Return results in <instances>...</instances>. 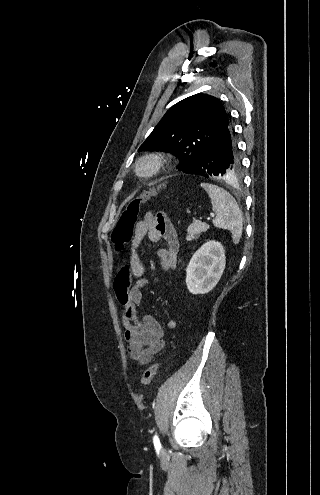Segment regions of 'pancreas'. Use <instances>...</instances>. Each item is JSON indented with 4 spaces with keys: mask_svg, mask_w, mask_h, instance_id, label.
<instances>
[{
    "mask_svg": "<svg viewBox=\"0 0 320 495\" xmlns=\"http://www.w3.org/2000/svg\"><path fill=\"white\" fill-rule=\"evenodd\" d=\"M209 229V225L206 223H202L201 221H193V223L188 227L187 232L188 235L186 239L191 241L193 239H198L201 233L206 232Z\"/></svg>",
    "mask_w": 320,
    "mask_h": 495,
    "instance_id": "obj_1",
    "label": "pancreas"
}]
</instances>
